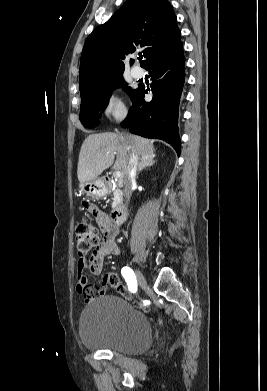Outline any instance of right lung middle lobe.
Segmentation results:
<instances>
[{
    "mask_svg": "<svg viewBox=\"0 0 267 391\" xmlns=\"http://www.w3.org/2000/svg\"><path fill=\"white\" fill-rule=\"evenodd\" d=\"M127 83L122 73L114 74L100 81L96 86L81 94L80 120L87 128L96 127L101 113L108 105L111 93L117 87H125ZM132 98L136 90L124 88Z\"/></svg>",
    "mask_w": 267,
    "mask_h": 391,
    "instance_id": "right-lung-middle-lobe-1",
    "label": "right lung middle lobe"
}]
</instances>
